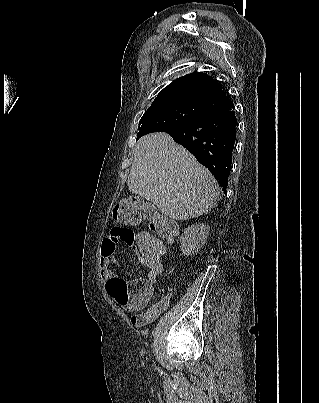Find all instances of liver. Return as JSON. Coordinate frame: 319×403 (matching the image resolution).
<instances>
[{
    "instance_id": "liver-1",
    "label": "liver",
    "mask_w": 319,
    "mask_h": 403,
    "mask_svg": "<svg viewBox=\"0 0 319 403\" xmlns=\"http://www.w3.org/2000/svg\"><path fill=\"white\" fill-rule=\"evenodd\" d=\"M127 185L175 220L207 214L220 194L209 170L164 132L137 141Z\"/></svg>"
}]
</instances>
